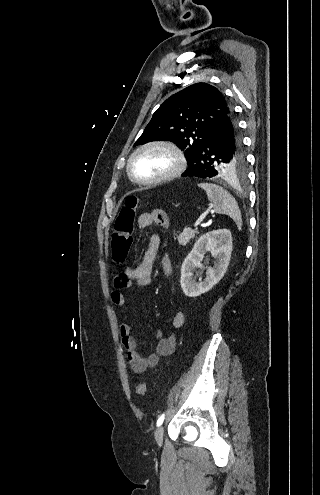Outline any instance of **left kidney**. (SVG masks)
<instances>
[{
    "mask_svg": "<svg viewBox=\"0 0 320 495\" xmlns=\"http://www.w3.org/2000/svg\"><path fill=\"white\" fill-rule=\"evenodd\" d=\"M211 252L216 259L214 267H206V278L196 282L194 270L200 266L205 252ZM232 252V236L227 229H219L202 235L194 244L192 251L185 258L181 267L180 284L186 296L196 297L208 292L224 276Z\"/></svg>",
    "mask_w": 320,
    "mask_h": 495,
    "instance_id": "obj_1",
    "label": "left kidney"
}]
</instances>
